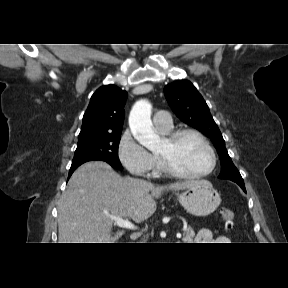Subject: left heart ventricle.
I'll list each match as a JSON object with an SVG mask.
<instances>
[{
	"label": "left heart ventricle",
	"instance_id": "obj_1",
	"mask_svg": "<svg viewBox=\"0 0 288 288\" xmlns=\"http://www.w3.org/2000/svg\"><path fill=\"white\" fill-rule=\"evenodd\" d=\"M157 154L169 158L176 167L188 174L204 172L211 165L209 151L192 135L182 137L174 145L165 139Z\"/></svg>",
	"mask_w": 288,
	"mask_h": 288
}]
</instances>
